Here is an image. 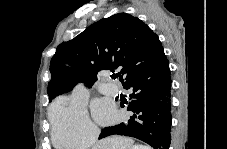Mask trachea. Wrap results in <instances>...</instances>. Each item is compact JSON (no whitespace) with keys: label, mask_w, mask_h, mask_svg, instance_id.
I'll use <instances>...</instances> for the list:
<instances>
[{"label":"trachea","mask_w":227,"mask_h":149,"mask_svg":"<svg viewBox=\"0 0 227 149\" xmlns=\"http://www.w3.org/2000/svg\"><path fill=\"white\" fill-rule=\"evenodd\" d=\"M111 78H112V79H116V78H117V75H116V74H113V75L111 76Z\"/></svg>","instance_id":"obj_1"}]
</instances>
